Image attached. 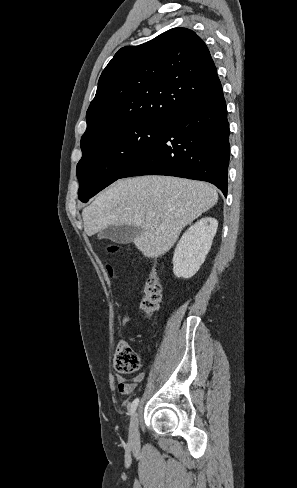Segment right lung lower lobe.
I'll return each instance as SVG.
<instances>
[{
	"mask_svg": "<svg viewBox=\"0 0 297 488\" xmlns=\"http://www.w3.org/2000/svg\"><path fill=\"white\" fill-rule=\"evenodd\" d=\"M230 155L227 107L220 89L181 111L121 178L167 175L207 181L227 196Z\"/></svg>",
	"mask_w": 297,
	"mask_h": 488,
	"instance_id": "1",
	"label": "right lung lower lobe"
}]
</instances>
